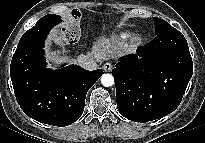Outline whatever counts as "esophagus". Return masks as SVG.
<instances>
[{
	"label": "esophagus",
	"mask_w": 205,
	"mask_h": 143,
	"mask_svg": "<svg viewBox=\"0 0 205 143\" xmlns=\"http://www.w3.org/2000/svg\"><path fill=\"white\" fill-rule=\"evenodd\" d=\"M112 68H113V65L109 62H107L103 65V70L105 72H110L112 70Z\"/></svg>",
	"instance_id": "34e87169"
}]
</instances>
